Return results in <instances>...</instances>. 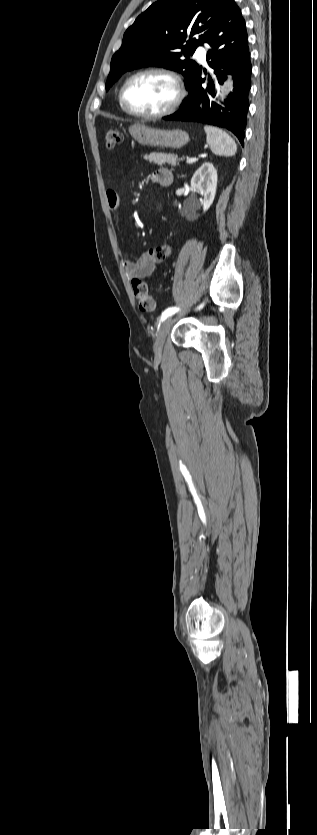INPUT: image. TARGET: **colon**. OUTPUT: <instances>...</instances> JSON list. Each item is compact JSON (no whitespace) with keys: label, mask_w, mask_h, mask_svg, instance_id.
I'll return each instance as SVG.
<instances>
[{"label":"colon","mask_w":317,"mask_h":835,"mask_svg":"<svg viewBox=\"0 0 317 835\" xmlns=\"http://www.w3.org/2000/svg\"><path fill=\"white\" fill-rule=\"evenodd\" d=\"M104 142L108 149H113L121 142V135L115 129L109 128L104 131ZM150 255L157 261H163L173 255V247L165 244L159 247H153L148 250ZM134 296L138 302L139 308L142 311L150 312L155 308V301L148 293L147 283L142 279L134 278L131 281Z\"/></svg>","instance_id":"obj_1"}]
</instances>
